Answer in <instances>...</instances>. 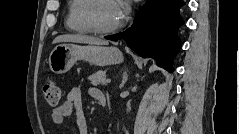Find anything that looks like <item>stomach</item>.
Listing matches in <instances>:
<instances>
[{
    "instance_id": "1",
    "label": "stomach",
    "mask_w": 239,
    "mask_h": 134,
    "mask_svg": "<svg viewBox=\"0 0 239 134\" xmlns=\"http://www.w3.org/2000/svg\"><path fill=\"white\" fill-rule=\"evenodd\" d=\"M78 60L103 67L122 63L124 56L118 48L112 46L60 44L50 53L49 67L53 73L62 74Z\"/></svg>"
}]
</instances>
